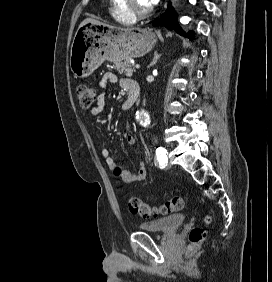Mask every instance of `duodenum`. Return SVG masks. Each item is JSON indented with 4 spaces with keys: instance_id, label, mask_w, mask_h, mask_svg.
<instances>
[{
    "instance_id": "1",
    "label": "duodenum",
    "mask_w": 272,
    "mask_h": 282,
    "mask_svg": "<svg viewBox=\"0 0 272 282\" xmlns=\"http://www.w3.org/2000/svg\"><path fill=\"white\" fill-rule=\"evenodd\" d=\"M123 81L128 96L122 107L124 109H129L136 103L140 96V86L139 83L133 79H124Z\"/></svg>"
}]
</instances>
